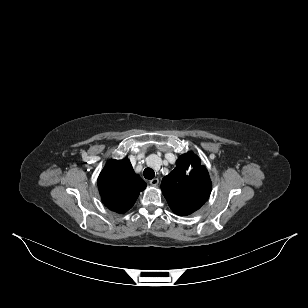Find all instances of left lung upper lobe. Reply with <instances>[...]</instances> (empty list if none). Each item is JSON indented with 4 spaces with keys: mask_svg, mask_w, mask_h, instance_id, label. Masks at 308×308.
<instances>
[{
    "mask_svg": "<svg viewBox=\"0 0 308 308\" xmlns=\"http://www.w3.org/2000/svg\"><path fill=\"white\" fill-rule=\"evenodd\" d=\"M161 189L173 212L187 216L207 201L211 180L199 157L188 152L180 156L174 170L163 178Z\"/></svg>",
    "mask_w": 308,
    "mask_h": 308,
    "instance_id": "obj_1",
    "label": "left lung upper lobe"
}]
</instances>
